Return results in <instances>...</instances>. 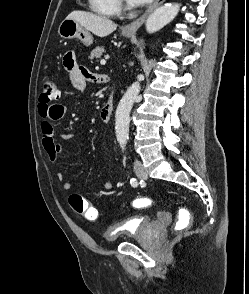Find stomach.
I'll use <instances>...</instances> for the list:
<instances>
[{
  "mask_svg": "<svg viewBox=\"0 0 249 294\" xmlns=\"http://www.w3.org/2000/svg\"><path fill=\"white\" fill-rule=\"evenodd\" d=\"M58 34L65 40L77 38L85 46H90L93 43L91 34L73 19H64L58 27ZM122 35L131 37L132 33L122 31Z\"/></svg>",
  "mask_w": 249,
  "mask_h": 294,
  "instance_id": "0dacf381",
  "label": "stomach"
}]
</instances>
